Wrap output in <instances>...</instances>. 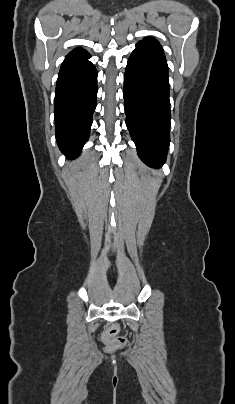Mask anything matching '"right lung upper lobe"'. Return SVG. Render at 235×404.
<instances>
[{
  "mask_svg": "<svg viewBox=\"0 0 235 404\" xmlns=\"http://www.w3.org/2000/svg\"><path fill=\"white\" fill-rule=\"evenodd\" d=\"M86 56H90L89 53L84 50V49H74L72 52H70L66 58H78V57H86Z\"/></svg>",
  "mask_w": 235,
  "mask_h": 404,
  "instance_id": "cb5924a9",
  "label": "right lung upper lobe"
}]
</instances>
